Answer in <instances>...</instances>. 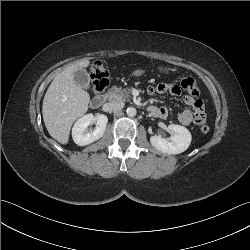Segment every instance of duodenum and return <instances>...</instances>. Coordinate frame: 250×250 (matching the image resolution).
Wrapping results in <instances>:
<instances>
[{
    "label": "duodenum",
    "instance_id": "410a0bca",
    "mask_svg": "<svg viewBox=\"0 0 250 250\" xmlns=\"http://www.w3.org/2000/svg\"><path fill=\"white\" fill-rule=\"evenodd\" d=\"M106 101L105 95H96L91 100V107L94 109L100 108Z\"/></svg>",
    "mask_w": 250,
    "mask_h": 250
}]
</instances>
